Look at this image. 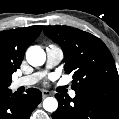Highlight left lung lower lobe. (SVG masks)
Wrapping results in <instances>:
<instances>
[{
	"instance_id": "1",
	"label": "left lung lower lobe",
	"mask_w": 119,
	"mask_h": 119,
	"mask_svg": "<svg viewBox=\"0 0 119 119\" xmlns=\"http://www.w3.org/2000/svg\"><path fill=\"white\" fill-rule=\"evenodd\" d=\"M55 97L59 106L52 119H119V96L76 92L74 99Z\"/></svg>"
}]
</instances>
